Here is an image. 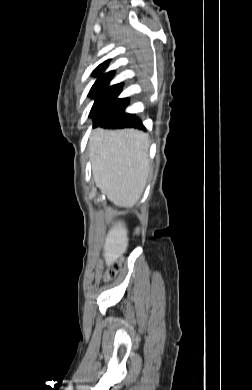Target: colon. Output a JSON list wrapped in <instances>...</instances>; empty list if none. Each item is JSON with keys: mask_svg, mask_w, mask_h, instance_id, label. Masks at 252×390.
<instances>
[{"mask_svg": "<svg viewBox=\"0 0 252 390\" xmlns=\"http://www.w3.org/2000/svg\"><path fill=\"white\" fill-rule=\"evenodd\" d=\"M120 267H121V260H116L112 262L106 271L105 278L106 279L113 278L118 272V270L120 269Z\"/></svg>", "mask_w": 252, "mask_h": 390, "instance_id": "obj_1", "label": "colon"}]
</instances>
